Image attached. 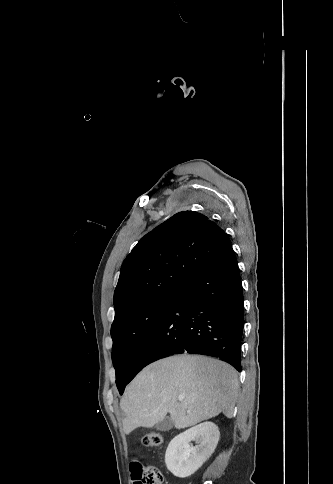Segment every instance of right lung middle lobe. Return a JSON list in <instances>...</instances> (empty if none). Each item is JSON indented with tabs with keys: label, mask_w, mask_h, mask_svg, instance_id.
Segmentation results:
<instances>
[{
	"label": "right lung middle lobe",
	"mask_w": 333,
	"mask_h": 484,
	"mask_svg": "<svg viewBox=\"0 0 333 484\" xmlns=\"http://www.w3.org/2000/svg\"><path fill=\"white\" fill-rule=\"evenodd\" d=\"M178 290L158 294L125 312L111 326L112 362L116 370V385L124 392L134 360L142 343L160 321Z\"/></svg>",
	"instance_id": "dd1d6c3e"
}]
</instances>
